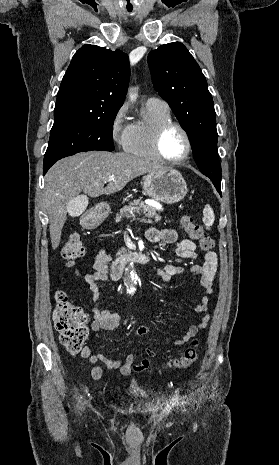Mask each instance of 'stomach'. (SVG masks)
I'll return each instance as SVG.
<instances>
[{
	"mask_svg": "<svg viewBox=\"0 0 279 465\" xmlns=\"http://www.w3.org/2000/svg\"><path fill=\"white\" fill-rule=\"evenodd\" d=\"M143 189L152 199L166 204L181 201L188 192L181 173L173 168H165L143 177ZM109 213V204L101 202L84 215L82 225L86 228H95Z\"/></svg>",
	"mask_w": 279,
	"mask_h": 465,
	"instance_id": "1",
	"label": "stomach"
}]
</instances>
